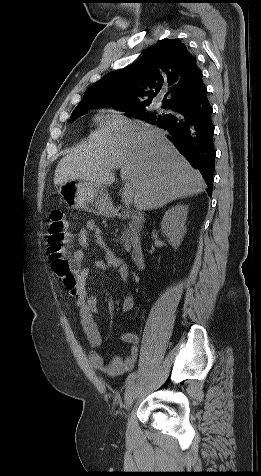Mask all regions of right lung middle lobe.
Wrapping results in <instances>:
<instances>
[{
	"label": "right lung middle lobe",
	"mask_w": 261,
	"mask_h": 476,
	"mask_svg": "<svg viewBox=\"0 0 261 476\" xmlns=\"http://www.w3.org/2000/svg\"><path fill=\"white\" fill-rule=\"evenodd\" d=\"M96 105H84L80 106L74 109V111L71 114V121L74 119L84 115L88 110H90L92 107ZM115 108L125 111L127 116L136 118V119H141L147 122H154L157 119H162L168 114L165 113H158V112H150L146 109V106H138L135 108H127L124 106H114ZM165 107V106H164Z\"/></svg>",
	"instance_id": "right-lung-middle-lobe-1"
}]
</instances>
